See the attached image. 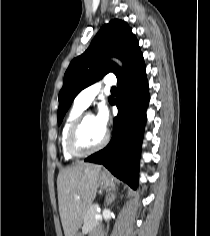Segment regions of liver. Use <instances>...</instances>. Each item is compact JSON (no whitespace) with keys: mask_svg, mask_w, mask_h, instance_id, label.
Here are the masks:
<instances>
[{"mask_svg":"<svg viewBox=\"0 0 210 236\" xmlns=\"http://www.w3.org/2000/svg\"><path fill=\"white\" fill-rule=\"evenodd\" d=\"M101 166L78 162L63 169L57 178L58 203L65 236H75L92 205Z\"/></svg>","mask_w":210,"mask_h":236,"instance_id":"1","label":"liver"}]
</instances>
